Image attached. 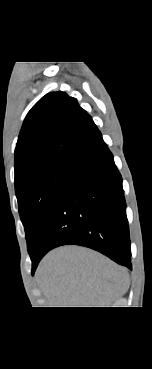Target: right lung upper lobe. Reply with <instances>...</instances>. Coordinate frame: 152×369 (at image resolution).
<instances>
[{"label": "right lung upper lobe", "instance_id": "obj_1", "mask_svg": "<svg viewBox=\"0 0 152 369\" xmlns=\"http://www.w3.org/2000/svg\"><path fill=\"white\" fill-rule=\"evenodd\" d=\"M102 135L90 115L65 92H51L28 112L15 148V184L58 161L75 162Z\"/></svg>", "mask_w": 152, "mask_h": 369}]
</instances>
